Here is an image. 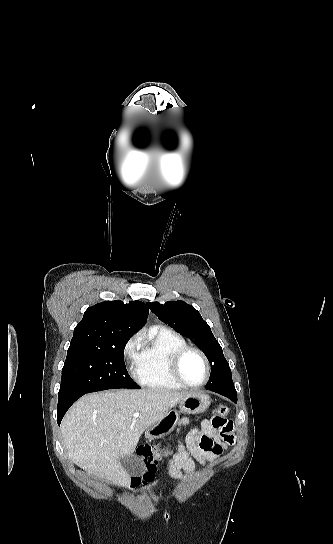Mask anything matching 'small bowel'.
I'll return each mask as SVG.
<instances>
[{
  "instance_id": "obj_1",
  "label": "small bowel",
  "mask_w": 333,
  "mask_h": 544,
  "mask_svg": "<svg viewBox=\"0 0 333 544\" xmlns=\"http://www.w3.org/2000/svg\"><path fill=\"white\" fill-rule=\"evenodd\" d=\"M188 421L184 419L183 424ZM235 442L234 425L224 417L214 416L201 423V429L187 432L184 442H179L169 461V475L176 480H185L195 472V462L208 464L218 458L223 450ZM153 483L151 487H154Z\"/></svg>"
}]
</instances>
